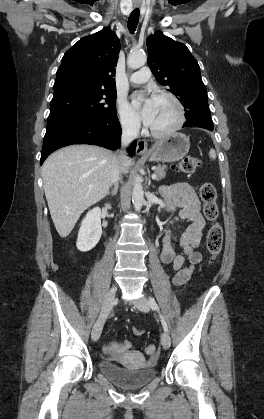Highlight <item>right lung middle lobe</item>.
Returning a JSON list of instances; mask_svg holds the SVG:
<instances>
[{
	"label": "right lung middle lobe",
	"instance_id": "1",
	"mask_svg": "<svg viewBox=\"0 0 264 419\" xmlns=\"http://www.w3.org/2000/svg\"><path fill=\"white\" fill-rule=\"evenodd\" d=\"M116 115V91L66 85L54 89L47 129L69 118Z\"/></svg>",
	"mask_w": 264,
	"mask_h": 419
}]
</instances>
